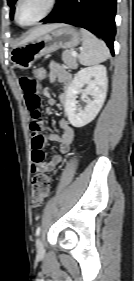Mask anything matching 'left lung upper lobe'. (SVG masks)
Wrapping results in <instances>:
<instances>
[{
	"label": "left lung upper lobe",
	"instance_id": "left-lung-upper-lobe-1",
	"mask_svg": "<svg viewBox=\"0 0 134 281\" xmlns=\"http://www.w3.org/2000/svg\"><path fill=\"white\" fill-rule=\"evenodd\" d=\"M8 1V5L11 7V11H10V16L11 18H13V15H14V4L17 0H7Z\"/></svg>",
	"mask_w": 134,
	"mask_h": 281
}]
</instances>
